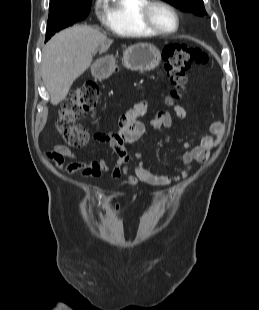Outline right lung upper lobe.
<instances>
[{"mask_svg":"<svg viewBox=\"0 0 259 310\" xmlns=\"http://www.w3.org/2000/svg\"><path fill=\"white\" fill-rule=\"evenodd\" d=\"M89 0H50L49 7L85 3Z\"/></svg>","mask_w":259,"mask_h":310,"instance_id":"obj_1","label":"right lung upper lobe"}]
</instances>
